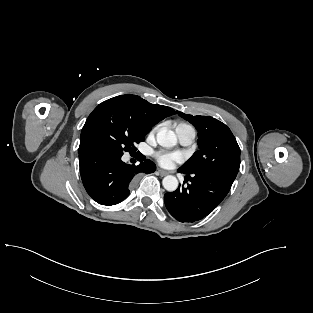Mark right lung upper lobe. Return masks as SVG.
Instances as JSON below:
<instances>
[{
  "label": "right lung upper lobe",
  "instance_id": "right-lung-upper-lobe-1",
  "mask_svg": "<svg viewBox=\"0 0 313 313\" xmlns=\"http://www.w3.org/2000/svg\"><path fill=\"white\" fill-rule=\"evenodd\" d=\"M110 103L130 111L141 125L148 130H151L152 126L159 121L176 113V111L170 107L151 104L137 95H120L106 100L99 104L86 120L81 132L79 153L93 149L89 135L91 124L100 109Z\"/></svg>",
  "mask_w": 313,
  "mask_h": 313
}]
</instances>
